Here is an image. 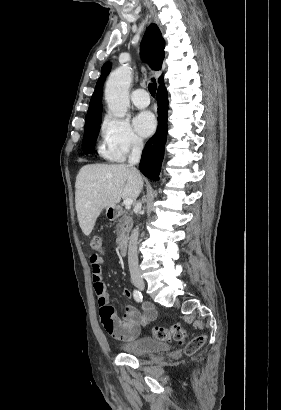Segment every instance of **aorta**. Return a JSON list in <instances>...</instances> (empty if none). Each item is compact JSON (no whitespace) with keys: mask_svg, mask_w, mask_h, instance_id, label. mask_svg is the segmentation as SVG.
Listing matches in <instances>:
<instances>
[{"mask_svg":"<svg viewBox=\"0 0 281 410\" xmlns=\"http://www.w3.org/2000/svg\"><path fill=\"white\" fill-rule=\"evenodd\" d=\"M132 72L128 66H121L113 71L105 87V100L111 113L119 118L126 115L130 106L129 87Z\"/></svg>","mask_w":281,"mask_h":410,"instance_id":"1","label":"aorta"}]
</instances>
